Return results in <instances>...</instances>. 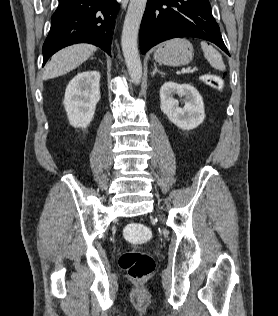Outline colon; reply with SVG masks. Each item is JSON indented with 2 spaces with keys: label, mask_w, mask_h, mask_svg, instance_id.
Listing matches in <instances>:
<instances>
[{
  "label": "colon",
  "mask_w": 278,
  "mask_h": 316,
  "mask_svg": "<svg viewBox=\"0 0 278 316\" xmlns=\"http://www.w3.org/2000/svg\"><path fill=\"white\" fill-rule=\"evenodd\" d=\"M203 80L205 84L216 90H221L224 85L223 78L216 74H207ZM151 235L150 228L138 222L130 223L124 229V237L132 243L146 242L151 238ZM119 266L127 271L133 279L143 280L154 271L155 261L147 253L128 251L120 255Z\"/></svg>",
  "instance_id": "colon-1"
}]
</instances>
